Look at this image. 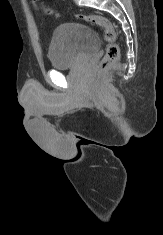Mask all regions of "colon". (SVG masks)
<instances>
[{"instance_id": "5ec220e1", "label": "colon", "mask_w": 163, "mask_h": 235, "mask_svg": "<svg viewBox=\"0 0 163 235\" xmlns=\"http://www.w3.org/2000/svg\"><path fill=\"white\" fill-rule=\"evenodd\" d=\"M45 13L48 15H53L55 17L58 16V13L50 8L45 9ZM77 17L83 21H86L92 25H95L102 29L104 38L108 42V46L106 49V53L98 67V73L104 74L113 64H115L119 59V47L116 43L117 34L116 31L107 19L93 16V15H85L78 14Z\"/></svg>"}]
</instances>
